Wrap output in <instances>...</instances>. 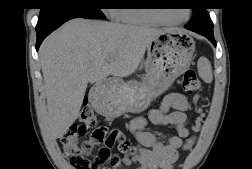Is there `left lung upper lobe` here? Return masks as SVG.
Returning <instances> with one entry per match:
<instances>
[{
    "label": "left lung upper lobe",
    "mask_w": 252,
    "mask_h": 169,
    "mask_svg": "<svg viewBox=\"0 0 252 169\" xmlns=\"http://www.w3.org/2000/svg\"><path fill=\"white\" fill-rule=\"evenodd\" d=\"M194 2L201 4L206 2V0H194ZM192 10L193 16L185 27L191 31H202L204 33L213 34V23L206 8L197 5L192 8Z\"/></svg>",
    "instance_id": "left-lung-upper-lobe-1"
}]
</instances>
